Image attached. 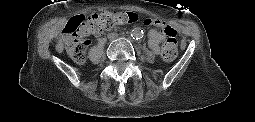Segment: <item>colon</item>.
Returning a JSON list of instances; mask_svg holds the SVG:
<instances>
[{
  "label": "colon",
  "instance_id": "5ec220e1",
  "mask_svg": "<svg viewBox=\"0 0 255 122\" xmlns=\"http://www.w3.org/2000/svg\"><path fill=\"white\" fill-rule=\"evenodd\" d=\"M138 20L137 13L117 11L75 17L63 30L67 53L75 62L81 63L85 60L86 51L91 44L93 35L110 30L116 25L135 23ZM143 24L154 25L151 18L144 19ZM158 28L168 36L162 46V57L167 61L173 60L178 53L176 31L163 24L158 25Z\"/></svg>",
  "mask_w": 255,
  "mask_h": 122
}]
</instances>
